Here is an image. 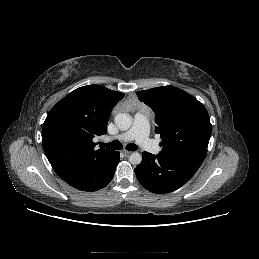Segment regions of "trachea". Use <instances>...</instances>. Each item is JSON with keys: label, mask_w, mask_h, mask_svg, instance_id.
<instances>
[{"label": "trachea", "mask_w": 259, "mask_h": 259, "mask_svg": "<svg viewBox=\"0 0 259 259\" xmlns=\"http://www.w3.org/2000/svg\"><path fill=\"white\" fill-rule=\"evenodd\" d=\"M100 146L103 148L113 149V150H120L122 148V144L119 141H112L108 144L100 143ZM126 149L129 151H136L138 146L134 143H130L126 145Z\"/></svg>", "instance_id": "trachea-1"}]
</instances>
